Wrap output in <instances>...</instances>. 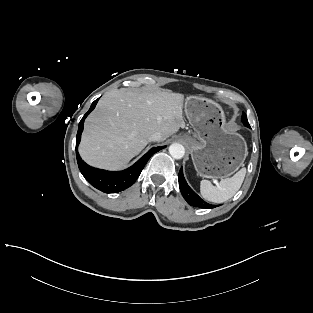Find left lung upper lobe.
<instances>
[{"label": "left lung upper lobe", "instance_id": "left-lung-upper-lobe-1", "mask_svg": "<svg viewBox=\"0 0 313 313\" xmlns=\"http://www.w3.org/2000/svg\"><path fill=\"white\" fill-rule=\"evenodd\" d=\"M241 120H242L243 124H244L246 127H249V128H250V125H249L248 120H247V116H246V114H245L244 112H243V114H242Z\"/></svg>", "mask_w": 313, "mask_h": 313}]
</instances>
